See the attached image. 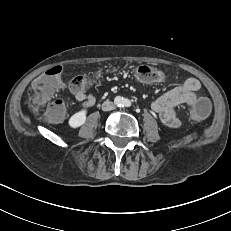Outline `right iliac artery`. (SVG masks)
Returning a JSON list of instances; mask_svg holds the SVG:
<instances>
[{"instance_id": "right-iliac-artery-1", "label": "right iliac artery", "mask_w": 231, "mask_h": 231, "mask_svg": "<svg viewBox=\"0 0 231 231\" xmlns=\"http://www.w3.org/2000/svg\"><path fill=\"white\" fill-rule=\"evenodd\" d=\"M121 101H123V99L121 100V98L118 99V103H121Z\"/></svg>"}]
</instances>
